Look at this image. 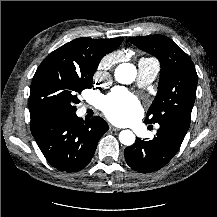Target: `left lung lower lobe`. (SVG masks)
<instances>
[{"label":"left lung lower lobe","instance_id":"0a47b994","mask_svg":"<svg viewBox=\"0 0 217 217\" xmlns=\"http://www.w3.org/2000/svg\"><path fill=\"white\" fill-rule=\"evenodd\" d=\"M152 140L136 138L135 143L124 150L127 164L135 171L149 173L161 169L177 153L188 128L174 121L159 124Z\"/></svg>","mask_w":217,"mask_h":217}]
</instances>
